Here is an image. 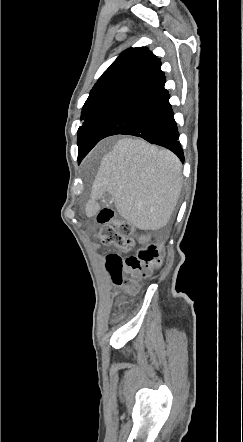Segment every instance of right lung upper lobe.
Instances as JSON below:
<instances>
[{
	"label": "right lung upper lobe",
	"mask_w": 243,
	"mask_h": 442,
	"mask_svg": "<svg viewBox=\"0 0 243 442\" xmlns=\"http://www.w3.org/2000/svg\"><path fill=\"white\" fill-rule=\"evenodd\" d=\"M161 62L145 47L129 48L98 79L89 99L109 95H127L143 84L163 75Z\"/></svg>",
	"instance_id": "1"
}]
</instances>
